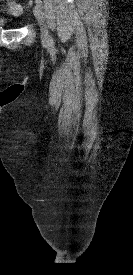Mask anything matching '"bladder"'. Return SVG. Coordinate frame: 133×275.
<instances>
[{"instance_id": "31cf9c89", "label": "bladder", "mask_w": 133, "mask_h": 275, "mask_svg": "<svg viewBox=\"0 0 133 275\" xmlns=\"http://www.w3.org/2000/svg\"><path fill=\"white\" fill-rule=\"evenodd\" d=\"M8 26V21L4 18H0V27Z\"/></svg>"}]
</instances>
